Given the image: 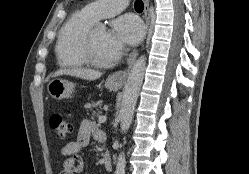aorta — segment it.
Here are the masks:
<instances>
[{
  "mask_svg": "<svg viewBox=\"0 0 249 174\" xmlns=\"http://www.w3.org/2000/svg\"><path fill=\"white\" fill-rule=\"evenodd\" d=\"M145 70L146 57L142 55L132 66L123 89L119 117L121 121V129L124 133L128 131L132 123L135 105L144 79ZM125 164V155L124 153H120L116 167V174H125Z\"/></svg>",
  "mask_w": 249,
  "mask_h": 174,
  "instance_id": "762f6f07",
  "label": "aorta"
}]
</instances>
